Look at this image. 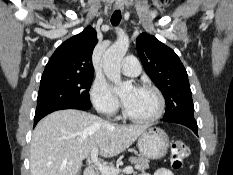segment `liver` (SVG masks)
Returning <instances> with one entry per match:
<instances>
[{
	"mask_svg": "<svg viewBox=\"0 0 233 175\" xmlns=\"http://www.w3.org/2000/svg\"><path fill=\"white\" fill-rule=\"evenodd\" d=\"M147 129L117 125L79 110L53 112L35 127L30 145L31 175H77L94 148L103 157L117 156Z\"/></svg>",
	"mask_w": 233,
	"mask_h": 175,
	"instance_id": "liver-1",
	"label": "liver"
}]
</instances>
